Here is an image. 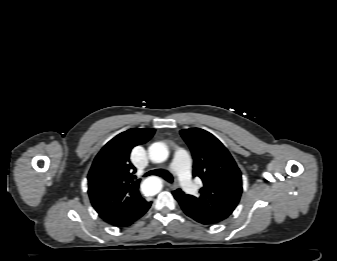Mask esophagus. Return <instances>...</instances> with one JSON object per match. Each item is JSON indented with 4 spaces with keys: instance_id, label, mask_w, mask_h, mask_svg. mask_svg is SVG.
Instances as JSON below:
<instances>
[{
    "instance_id": "34e87169",
    "label": "esophagus",
    "mask_w": 337,
    "mask_h": 261,
    "mask_svg": "<svg viewBox=\"0 0 337 261\" xmlns=\"http://www.w3.org/2000/svg\"><path fill=\"white\" fill-rule=\"evenodd\" d=\"M168 187L171 188V189H175L177 187V185L168 183Z\"/></svg>"
}]
</instances>
